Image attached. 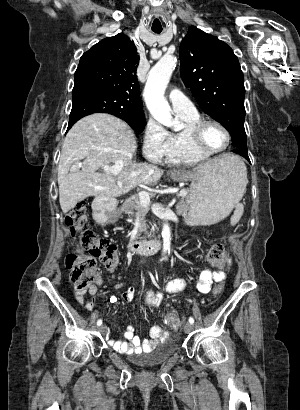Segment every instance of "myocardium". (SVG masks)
Masks as SVG:
<instances>
[{
	"instance_id": "f54148a6",
	"label": "myocardium",
	"mask_w": 300,
	"mask_h": 410,
	"mask_svg": "<svg viewBox=\"0 0 300 410\" xmlns=\"http://www.w3.org/2000/svg\"><path fill=\"white\" fill-rule=\"evenodd\" d=\"M209 124L217 125L218 127L222 129V131L226 135V138H227L226 144L220 149H210L205 145L203 141V130L205 126ZM190 139L196 150H198L199 152L203 154L211 156V155L219 154L225 151L231 143L232 136H231L229 129L221 121L217 119H213V118H202L198 120L190 128Z\"/></svg>"
}]
</instances>
